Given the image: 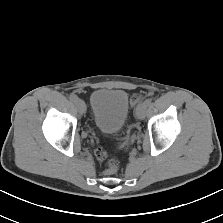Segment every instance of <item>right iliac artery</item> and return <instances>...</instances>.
Listing matches in <instances>:
<instances>
[{
  "label": "right iliac artery",
  "instance_id": "82829eb1",
  "mask_svg": "<svg viewBox=\"0 0 223 223\" xmlns=\"http://www.w3.org/2000/svg\"><path fill=\"white\" fill-rule=\"evenodd\" d=\"M69 99H70V101H72V102H76V100H77L78 98H77L76 95H74V94H70Z\"/></svg>",
  "mask_w": 223,
  "mask_h": 223
}]
</instances>
